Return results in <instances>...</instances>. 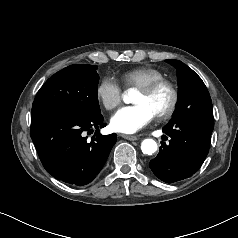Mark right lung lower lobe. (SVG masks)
<instances>
[{
	"mask_svg": "<svg viewBox=\"0 0 238 238\" xmlns=\"http://www.w3.org/2000/svg\"><path fill=\"white\" fill-rule=\"evenodd\" d=\"M103 116L87 117L67 111L33 110L30 135L44 168L56 179L82 186L105 164L117 141L115 133L101 135ZM96 129L91 142L86 133Z\"/></svg>",
	"mask_w": 238,
	"mask_h": 238,
	"instance_id": "obj_1",
	"label": "right lung lower lobe"
}]
</instances>
